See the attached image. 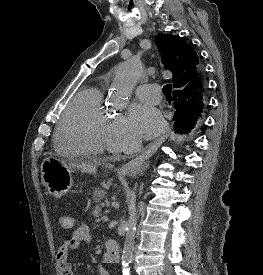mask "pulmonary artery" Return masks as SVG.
<instances>
[{"label":"pulmonary artery","mask_w":263,"mask_h":275,"mask_svg":"<svg viewBox=\"0 0 263 275\" xmlns=\"http://www.w3.org/2000/svg\"><path fill=\"white\" fill-rule=\"evenodd\" d=\"M135 94L139 99L147 103L157 104L161 100L160 89L157 84L139 85L135 89Z\"/></svg>","instance_id":"1"}]
</instances>
